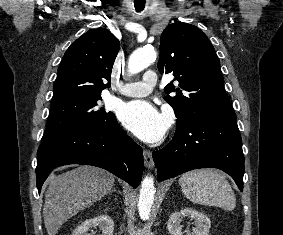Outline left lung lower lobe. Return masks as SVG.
<instances>
[{
    "instance_id": "1",
    "label": "left lung lower lobe",
    "mask_w": 283,
    "mask_h": 235,
    "mask_svg": "<svg viewBox=\"0 0 283 235\" xmlns=\"http://www.w3.org/2000/svg\"><path fill=\"white\" fill-rule=\"evenodd\" d=\"M158 181L213 167L223 170L243 190L244 156L236 115L203 118L176 128L172 141L153 152Z\"/></svg>"
}]
</instances>
